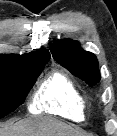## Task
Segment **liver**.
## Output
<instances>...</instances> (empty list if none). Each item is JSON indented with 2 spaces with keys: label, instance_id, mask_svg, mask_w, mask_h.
<instances>
[{
  "label": "liver",
  "instance_id": "1",
  "mask_svg": "<svg viewBox=\"0 0 117 136\" xmlns=\"http://www.w3.org/2000/svg\"><path fill=\"white\" fill-rule=\"evenodd\" d=\"M0 136H90L64 123L42 117L29 118L0 128Z\"/></svg>",
  "mask_w": 117,
  "mask_h": 136
}]
</instances>
